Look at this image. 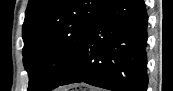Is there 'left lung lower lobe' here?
<instances>
[{"instance_id": "1", "label": "left lung lower lobe", "mask_w": 173, "mask_h": 91, "mask_svg": "<svg viewBox=\"0 0 173 91\" xmlns=\"http://www.w3.org/2000/svg\"><path fill=\"white\" fill-rule=\"evenodd\" d=\"M147 25L143 0H110L58 86L84 82L112 91H146Z\"/></svg>"}]
</instances>
